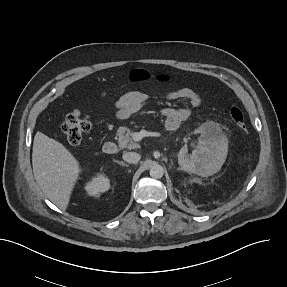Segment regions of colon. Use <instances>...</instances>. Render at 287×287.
Listing matches in <instances>:
<instances>
[{
  "label": "colon",
  "mask_w": 287,
  "mask_h": 287,
  "mask_svg": "<svg viewBox=\"0 0 287 287\" xmlns=\"http://www.w3.org/2000/svg\"><path fill=\"white\" fill-rule=\"evenodd\" d=\"M149 79H151V75L145 70H134L130 74L131 82H145ZM155 79L160 82H165L168 80V77L159 75L156 76ZM230 118L238 129L246 130V121L241 109L232 107L230 109ZM61 129L70 144L78 145L82 141L84 134L90 129V121L80 110H74L66 116Z\"/></svg>",
  "instance_id": "colon-1"
}]
</instances>
